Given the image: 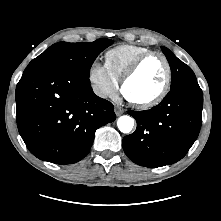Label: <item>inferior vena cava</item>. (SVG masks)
Here are the masks:
<instances>
[{"label":"inferior vena cava","mask_w":221,"mask_h":221,"mask_svg":"<svg viewBox=\"0 0 221 221\" xmlns=\"http://www.w3.org/2000/svg\"><path fill=\"white\" fill-rule=\"evenodd\" d=\"M96 94L101 96V97H106L107 96V93L105 91H102V90L96 91Z\"/></svg>","instance_id":"obj_1"}]
</instances>
